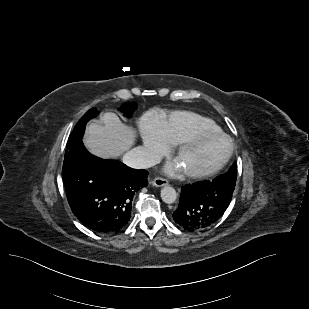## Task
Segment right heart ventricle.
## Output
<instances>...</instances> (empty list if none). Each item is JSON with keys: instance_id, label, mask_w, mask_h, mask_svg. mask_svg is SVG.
Returning a JSON list of instances; mask_svg holds the SVG:
<instances>
[{"instance_id": "right-heart-ventricle-1", "label": "right heart ventricle", "mask_w": 309, "mask_h": 309, "mask_svg": "<svg viewBox=\"0 0 309 309\" xmlns=\"http://www.w3.org/2000/svg\"><path fill=\"white\" fill-rule=\"evenodd\" d=\"M155 128L173 145L198 131L221 132L213 120L191 111H174L157 121Z\"/></svg>"}]
</instances>
